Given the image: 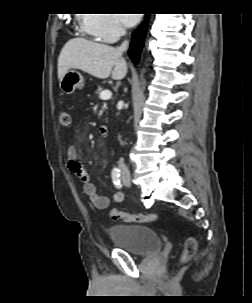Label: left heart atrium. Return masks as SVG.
<instances>
[{
  "mask_svg": "<svg viewBox=\"0 0 252 303\" xmlns=\"http://www.w3.org/2000/svg\"><path fill=\"white\" fill-rule=\"evenodd\" d=\"M121 22L128 26H134L138 21L140 16L138 14H118Z\"/></svg>",
  "mask_w": 252,
  "mask_h": 303,
  "instance_id": "obj_1",
  "label": "left heart atrium"
}]
</instances>
